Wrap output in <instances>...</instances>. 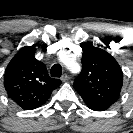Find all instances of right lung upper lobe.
Wrapping results in <instances>:
<instances>
[{
	"label": "right lung upper lobe",
	"mask_w": 133,
	"mask_h": 133,
	"mask_svg": "<svg viewBox=\"0 0 133 133\" xmlns=\"http://www.w3.org/2000/svg\"><path fill=\"white\" fill-rule=\"evenodd\" d=\"M33 46L22 48L10 61L4 74V87L14 102L25 110L43 105L61 81L48 76Z\"/></svg>",
	"instance_id": "obj_1"
}]
</instances>
